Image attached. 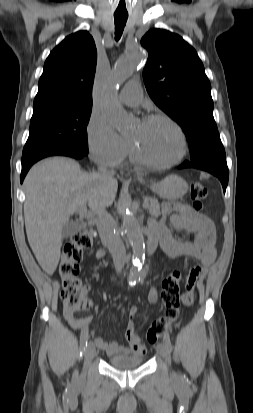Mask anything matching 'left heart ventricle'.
Masks as SVG:
<instances>
[{
	"mask_svg": "<svg viewBox=\"0 0 253 413\" xmlns=\"http://www.w3.org/2000/svg\"><path fill=\"white\" fill-rule=\"evenodd\" d=\"M142 154L155 162L174 159L180 150V140L176 131L167 122L158 120L139 123L130 134Z\"/></svg>",
	"mask_w": 253,
	"mask_h": 413,
	"instance_id": "b2bd125f",
	"label": "left heart ventricle"
}]
</instances>
